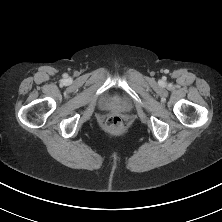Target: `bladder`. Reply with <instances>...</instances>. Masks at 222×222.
I'll list each match as a JSON object with an SVG mask.
<instances>
[{
    "instance_id": "1",
    "label": "bladder",
    "mask_w": 222,
    "mask_h": 222,
    "mask_svg": "<svg viewBox=\"0 0 222 222\" xmlns=\"http://www.w3.org/2000/svg\"><path fill=\"white\" fill-rule=\"evenodd\" d=\"M102 104L107 109H119L123 111L131 107L130 101L122 97L104 96L102 98Z\"/></svg>"
}]
</instances>
